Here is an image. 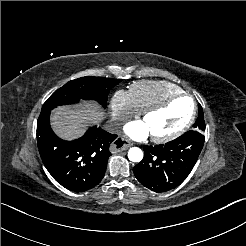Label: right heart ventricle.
<instances>
[{
    "label": "right heart ventricle",
    "mask_w": 246,
    "mask_h": 246,
    "mask_svg": "<svg viewBox=\"0 0 246 246\" xmlns=\"http://www.w3.org/2000/svg\"><path fill=\"white\" fill-rule=\"evenodd\" d=\"M134 111L143 112L145 109L179 95L182 90L174 84L163 81H138L129 88Z\"/></svg>",
    "instance_id": "e07e8e85"
}]
</instances>
